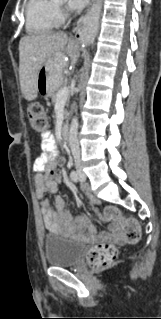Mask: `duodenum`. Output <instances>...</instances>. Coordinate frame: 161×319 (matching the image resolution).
<instances>
[{
	"label": "duodenum",
	"instance_id": "duodenum-1",
	"mask_svg": "<svg viewBox=\"0 0 161 319\" xmlns=\"http://www.w3.org/2000/svg\"><path fill=\"white\" fill-rule=\"evenodd\" d=\"M60 137L62 139V141L66 142L69 138V124L64 123L61 126V130H60Z\"/></svg>",
	"mask_w": 161,
	"mask_h": 319
}]
</instances>
